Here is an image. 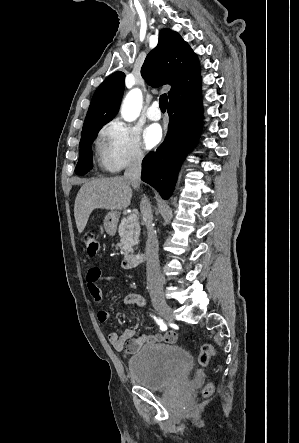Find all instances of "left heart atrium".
<instances>
[{
    "instance_id": "39dd6f15",
    "label": "left heart atrium",
    "mask_w": 299,
    "mask_h": 443,
    "mask_svg": "<svg viewBox=\"0 0 299 443\" xmlns=\"http://www.w3.org/2000/svg\"><path fill=\"white\" fill-rule=\"evenodd\" d=\"M162 138V131L159 125L151 124L144 131V145L147 149L156 146Z\"/></svg>"
}]
</instances>
